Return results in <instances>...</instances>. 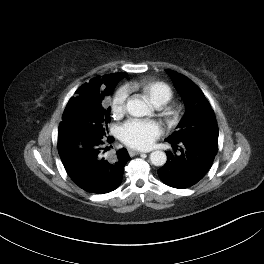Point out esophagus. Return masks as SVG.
Here are the masks:
<instances>
[{
  "mask_svg": "<svg viewBox=\"0 0 264 264\" xmlns=\"http://www.w3.org/2000/svg\"><path fill=\"white\" fill-rule=\"evenodd\" d=\"M128 153L131 157L135 156V155H139L141 154L142 152L141 151H136V150H132V149H129L128 150Z\"/></svg>",
  "mask_w": 264,
  "mask_h": 264,
  "instance_id": "34e87169",
  "label": "esophagus"
}]
</instances>
